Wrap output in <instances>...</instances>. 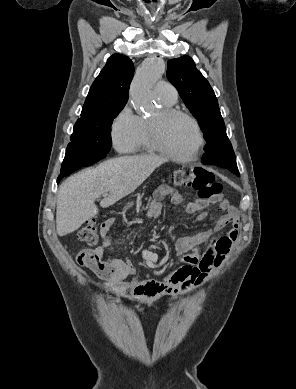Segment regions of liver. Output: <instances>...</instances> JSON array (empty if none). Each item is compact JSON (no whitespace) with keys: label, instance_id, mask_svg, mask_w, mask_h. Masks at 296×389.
<instances>
[{"label":"liver","instance_id":"1","mask_svg":"<svg viewBox=\"0 0 296 389\" xmlns=\"http://www.w3.org/2000/svg\"><path fill=\"white\" fill-rule=\"evenodd\" d=\"M167 160L158 155L124 156L109 159L94 168L85 169L62 183L58 190L56 231L59 236L70 234L107 208L134 192Z\"/></svg>","mask_w":296,"mask_h":389}]
</instances>
